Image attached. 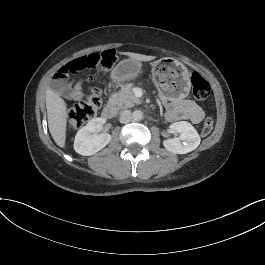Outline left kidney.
Returning <instances> with one entry per match:
<instances>
[{
	"label": "left kidney",
	"instance_id": "obj_1",
	"mask_svg": "<svg viewBox=\"0 0 265 265\" xmlns=\"http://www.w3.org/2000/svg\"><path fill=\"white\" fill-rule=\"evenodd\" d=\"M172 130L180 133V137L162 140V144L167 151L183 155L192 152L199 146L201 138L189 122L181 121L174 123Z\"/></svg>",
	"mask_w": 265,
	"mask_h": 265
}]
</instances>
